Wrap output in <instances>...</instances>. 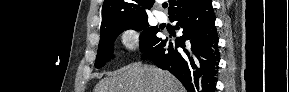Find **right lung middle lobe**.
<instances>
[{
  "instance_id": "obj_1",
  "label": "right lung middle lobe",
  "mask_w": 289,
  "mask_h": 92,
  "mask_svg": "<svg viewBox=\"0 0 289 92\" xmlns=\"http://www.w3.org/2000/svg\"><path fill=\"white\" fill-rule=\"evenodd\" d=\"M127 29H134L136 31L144 30L140 36V49L142 52L150 48L151 45L159 39L156 36L159 30L156 27H149L148 18L111 25L101 31L95 62L96 68H101L105 65V62L111 58L113 54L114 41L117 35Z\"/></svg>"
}]
</instances>
